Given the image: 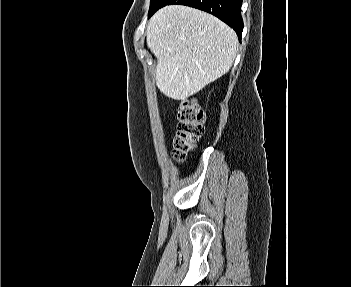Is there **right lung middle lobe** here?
I'll list each match as a JSON object with an SVG mask.
<instances>
[{
  "instance_id": "dd1d6c3e",
  "label": "right lung middle lobe",
  "mask_w": 351,
  "mask_h": 287,
  "mask_svg": "<svg viewBox=\"0 0 351 287\" xmlns=\"http://www.w3.org/2000/svg\"><path fill=\"white\" fill-rule=\"evenodd\" d=\"M161 0H151L149 13L157 6Z\"/></svg>"
}]
</instances>
